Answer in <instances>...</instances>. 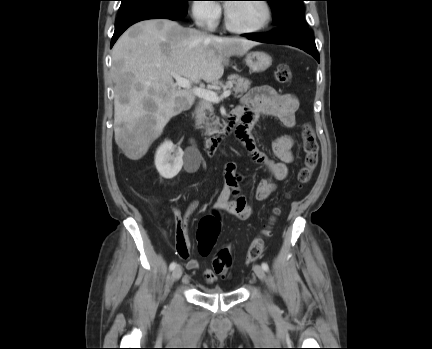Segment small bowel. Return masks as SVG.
Here are the masks:
<instances>
[{
    "label": "small bowel",
    "instance_id": "c3829d8e",
    "mask_svg": "<svg viewBox=\"0 0 432 349\" xmlns=\"http://www.w3.org/2000/svg\"><path fill=\"white\" fill-rule=\"evenodd\" d=\"M240 113V121L235 129L237 141L246 151L252 162L264 167L269 177L258 181L254 196L258 201L266 200L275 190V181L285 180L288 176V165L294 161V139L290 135H282L272 143L275 159L268 157L256 145L251 130L261 115L278 119L285 127L296 125V115L299 112V101L294 94L280 93L271 86H259L250 89L242 98L241 105L236 108ZM200 164L197 153L189 151L185 155V170L195 172ZM224 185L216 199L215 208L219 211L235 216L239 220H247L252 214V207L241 193L242 175L238 172L236 162H227L223 170ZM198 201L193 200L187 206V213H193ZM177 232V252L182 259L189 258V241L183 228L178 210L174 211ZM188 270H196L199 261L195 258L187 261ZM204 278L208 283L216 280L211 269L204 271Z\"/></svg>",
    "mask_w": 432,
    "mask_h": 349
}]
</instances>
